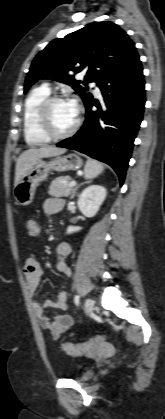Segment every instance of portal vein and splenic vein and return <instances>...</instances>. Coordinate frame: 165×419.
<instances>
[{
  "mask_svg": "<svg viewBox=\"0 0 165 419\" xmlns=\"http://www.w3.org/2000/svg\"><path fill=\"white\" fill-rule=\"evenodd\" d=\"M76 185V181H71V182H69V187H74Z\"/></svg>",
  "mask_w": 165,
  "mask_h": 419,
  "instance_id": "obj_1",
  "label": "portal vein and splenic vein"
}]
</instances>
